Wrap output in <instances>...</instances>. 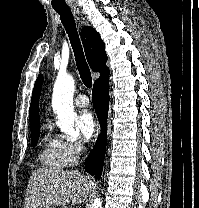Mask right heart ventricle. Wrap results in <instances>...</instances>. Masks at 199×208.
Listing matches in <instances>:
<instances>
[{"label":"right heart ventricle","mask_w":199,"mask_h":208,"mask_svg":"<svg viewBox=\"0 0 199 208\" xmlns=\"http://www.w3.org/2000/svg\"><path fill=\"white\" fill-rule=\"evenodd\" d=\"M40 159L50 169H61L66 166L61 141L53 137L50 133H46L43 137V148Z\"/></svg>","instance_id":"obj_1"}]
</instances>
